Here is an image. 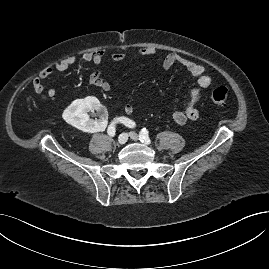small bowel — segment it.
<instances>
[{
	"label": "small bowel",
	"mask_w": 269,
	"mask_h": 269,
	"mask_svg": "<svg viewBox=\"0 0 269 269\" xmlns=\"http://www.w3.org/2000/svg\"><path fill=\"white\" fill-rule=\"evenodd\" d=\"M155 53L156 49L154 47H143L130 56L124 52L113 53L110 55V60L113 62H121L127 59L134 60L138 57L151 56ZM105 58L106 51L103 49L85 52L82 55L83 61L91 62L96 65H101ZM76 61V57L70 56L57 61L51 67L43 69L32 81L34 92L39 95L44 94L47 100L53 99L56 96V90L54 88H50L45 92V81L55 71H65L75 65ZM176 64L183 66L192 77L196 78V84L189 91L185 108L181 111H175L172 114L173 122L177 125L183 126L198 120L200 116L198 104L203 97L204 91L211 85L212 78L210 75L206 74L203 65L176 52H170L162 59V66L164 69H170ZM90 81L95 87L99 88L103 92H108L111 89L110 83L103 78L101 70H97L92 73ZM123 112L129 116L134 112V108L131 104L127 103L123 106Z\"/></svg>",
	"instance_id": "small-bowel-1"
}]
</instances>
